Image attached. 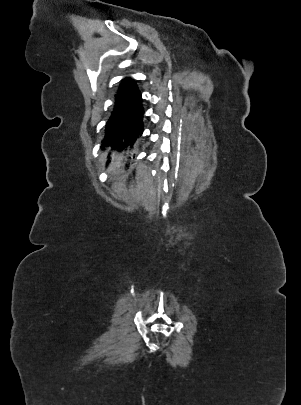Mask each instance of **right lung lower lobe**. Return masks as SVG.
Listing matches in <instances>:
<instances>
[{
    "instance_id": "right-lung-lower-lobe-1",
    "label": "right lung lower lobe",
    "mask_w": 301,
    "mask_h": 405,
    "mask_svg": "<svg viewBox=\"0 0 301 405\" xmlns=\"http://www.w3.org/2000/svg\"><path fill=\"white\" fill-rule=\"evenodd\" d=\"M142 96L130 78L121 81L111 115L106 123L102 147L121 150L132 147L143 133Z\"/></svg>"
}]
</instances>
